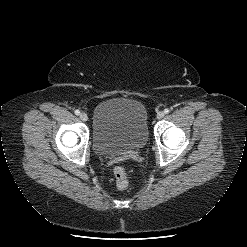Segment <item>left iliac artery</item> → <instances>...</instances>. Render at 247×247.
I'll use <instances>...</instances> for the list:
<instances>
[{
  "label": "left iliac artery",
  "mask_w": 247,
  "mask_h": 247,
  "mask_svg": "<svg viewBox=\"0 0 247 247\" xmlns=\"http://www.w3.org/2000/svg\"><path fill=\"white\" fill-rule=\"evenodd\" d=\"M169 111H170V110H169L168 108L164 109V113H165V114H168Z\"/></svg>",
  "instance_id": "obj_1"
}]
</instances>
